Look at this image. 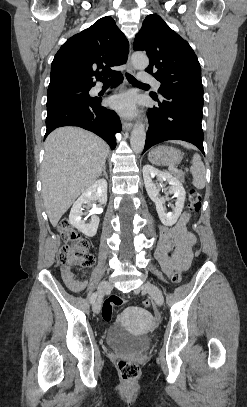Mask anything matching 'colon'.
<instances>
[{"mask_svg": "<svg viewBox=\"0 0 247 407\" xmlns=\"http://www.w3.org/2000/svg\"><path fill=\"white\" fill-rule=\"evenodd\" d=\"M189 210L191 213L198 212L202 204V196L196 189H191L188 195ZM58 231L61 234L64 245L60 250L59 260L66 267H90L94 260L89 251L88 242L83 239L71 226L68 220L63 219L58 225ZM171 281L175 284L181 281L180 272H175ZM127 302V298L119 295L108 297L102 307L101 315L105 321H110L113 315V309L120 307ZM145 307L150 306V302H143ZM118 370L122 379L126 382L136 380L140 374L139 365L132 360L121 359L118 362Z\"/></svg>", "mask_w": 247, "mask_h": 407, "instance_id": "obj_1", "label": "colon"}]
</instances>
